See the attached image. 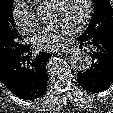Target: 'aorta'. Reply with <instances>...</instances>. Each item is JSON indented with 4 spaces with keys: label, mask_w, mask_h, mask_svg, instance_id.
I'll return each mask as SVG.
<instances>
[{
    "label": "aorta",
    "mask_w": 113,
    "mask_h": 113,
    "mask_svg": "<svg viewBox=\"0 0 113 113\" xmlns=\"http://www.w3.org/2000/svg\"><path fill=\"white\" fill-rule=\"evenodd\" d=\"M90 56L81 49H74L71 55V64L78 71H86L90 65Z\"/></svg>",
    "instance_id": "obj_1"
}]
</instances>
